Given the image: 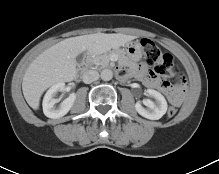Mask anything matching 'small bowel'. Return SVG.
<instances>
[{
	"mask_svg": "<svg viewBox=\"0 0 219 174\" xmlns=\"http://www.w3.org/2000/svg\"><path fill=\"white\" fill-rule=\"evenodd\" d=\"M136 76L141 79L145 85L161 90L170 102L173 108H180L185 99V89L182 86H170L167 82L159 80L151 74L144 66H141Z\"/></svg>",
	"mask_w": 219,
	"mask_h": 174,
	"instance_id": "1",
	"label": "small bowel"
}]
</instances>
